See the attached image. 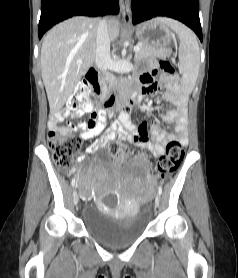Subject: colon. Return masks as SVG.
Masks as SVG:
<instances>
[{"instance_id":"colon-1","label":"colon","mask_w":238,"mask_h":278,"mask_svg":"<svg viewBox=\"0 0 238 278\" xmlns=\"http://www.w3.org/2000/svg\"><path fill=\"white\" fill-rule=\"evenodd\" d=\"M160 66L165 79H173L175 70L168 60H162ZM70 110L78 112H91L94 103L91 98V88L88 81H82L76 87L75 92L67 101ZM48 143L52 152L54 163L59 168H67L71 165L74 153L80 148L81 140L73 129L60 131L51 129L48 133ZM110 153L116 158H124L128 149L121 143H113L109 147ZM184 158L183 146L177 141H171L166 146V151L157 163V172L162 179L171 175Z\"/></svg>"}]
</instances>
